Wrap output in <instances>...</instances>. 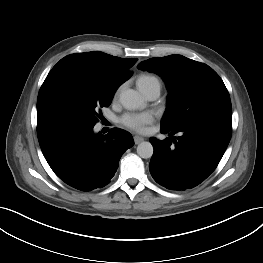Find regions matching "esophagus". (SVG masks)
<instances>
[{"label":"esophagus","mask_w":263,"mask_h":263,"mask_svg":"<svg viewBox=\"0 0 263 263\" xmlns=\"http://www.w3.org/2000/svg\"><path fill=\"white\" fill-rule=\"evenodd\" d=\"M143 141H144V138H143V137L138 136V135H135V136H134V142H135V144H139V143H141V142H143Z\"/></svg>","instance_id":"esophagus-1"}]
</instances>
